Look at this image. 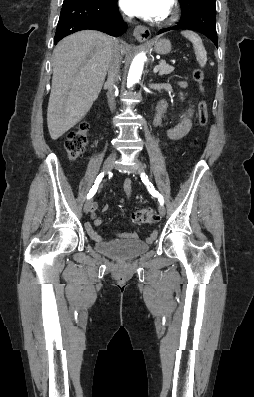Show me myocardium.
Returning <instances> with one entry per match:
<instances>
[{"label":"myocardium","mask_w":254,"mask_h":397,"mask_svg":"<svg viewBox=\"0 0 254 397\" xmlns=\"http://www.w3.org/2000/svg\"><path fill=\"white\" fill-rule=\"evenodd\" d=\"M179 13L177 7L173 4L167 15L160 22L163 25H170L178 19Z\"/></svg>","instance_id":"1"}]
</instances>
